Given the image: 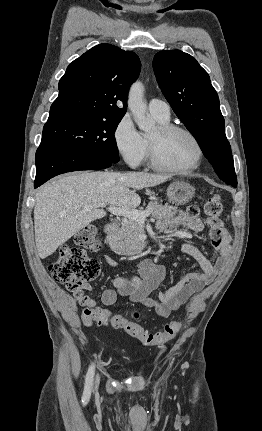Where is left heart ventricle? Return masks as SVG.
<instances>
[{"label":"left heart ventricle","mask_w":262,"mask_h":431,"mask_svg":"<svg viewBox=\"0 0 262 431\" xmlns=\"http://www.w3.org/2000/svg\"><path fill=\"white\" fill-rule=\"evenodd\" d=\"M149 139L156 146L159 160L166 166L173 168H190L196 159V148L193 141L180 132L159 136L157 129Z\"/></svg>","instance_id":"1"}]
</instances>
